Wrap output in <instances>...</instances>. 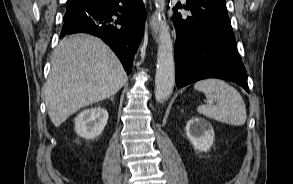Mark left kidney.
Returning <instances> with one entry per match:
<instances>
[{
    "label": "left kidney",
    "instance_id": "1",
    "mask_svg": "<svg viewBox=\"0 0 293 184\" xmlns=\"http://www.w3.org/2000/svg\"><path fill=\"white\" fill-rule=\"evenodd\" d=\"M186 135L195 150L206 152L214 142V130L205 119L194 117L187 122Z\"/></svg>",
    "mask_w": 293,
    "mask_h": 184
}]
</instances>
